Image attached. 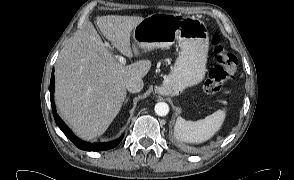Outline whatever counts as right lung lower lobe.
<instances>
[{
	"instance_id": "right-lung-lower-lobe-1",
	"label": "right lung lower lobe",
	"mask_w": 294,
	"mask_h": 180,
	"mask_svg": "<svg viewBox=\"0 0 294 180\" xmlns=\"http://www.w3.org/2000/svg\"><path fill=\"white\" fill-rule=\"evenodd\" d=\"M54 83H55V79H54V71L52 72L51 75V81H50V100H51V105H52V109H53V115H54V119L56 124L58 125V127L61 129V131L80 149L82 150H87V151H103V150H108L111 148H114L115 146H117L122 137L112 141V142H108V143H86L80 139H78L71 131L70 129L65 125V123L61 120V118L57 115L56 113V109H55V105H54Z\"/></svg>"
}]
</instances>
